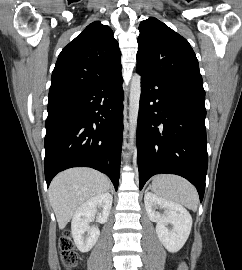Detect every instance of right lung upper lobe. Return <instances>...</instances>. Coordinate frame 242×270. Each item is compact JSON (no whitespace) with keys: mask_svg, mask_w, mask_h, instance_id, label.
I'll return each instance as SVG.
<instances>
[{"mask_svg":"<svg viewBox=\"0 0 242 270\" xmlns=\"http://www.w3.org/2000/svg\"><path fill=\"white\" fill-rule=\"evenodd\" d=\"M121 52L113 31L95 21L58 56L52 72L49 100L78 92L121 71Z\"/></svg>","mask_w":242,"mask_h":270,"instance_id":"cb5924a9","label":"right lung upper lobe"}]
</instances>
